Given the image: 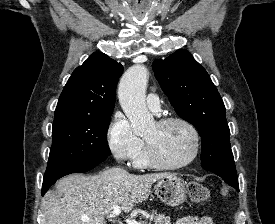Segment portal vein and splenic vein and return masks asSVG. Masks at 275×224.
<instances>
[{
    "mask_svg": "<svg viewBox=\"0 0 275 224\" xmlns=\"http://www.w3.org/2000/svg\"><path fill=\"white\" fill-rule=\"evenodd\" d=\"M120 213H121V207L117 206L113 209L110 216L118 217L120 215ZM81 219L83 221H89V218H87V217H82ZM125 222L127 224H141L140 222H137L136 220H133V219H126Z\"/></svg>",
    "mask_w": 275,
    "mask_h": 224,
    "instance_id": "1",
    "label": "portal vein and splenic vein"
}]
</instances>
